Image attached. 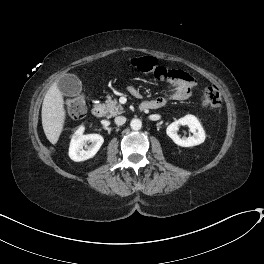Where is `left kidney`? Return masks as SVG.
I'll list each match as a JSON object with an SVG mask.
<instances>
[{"instance_id":"1","label":"left kidney","mask_w":264,"mask_h":264,"mask_svg":"<svg viewBox=\"0 0 264 264\" xmlns=\"http://www.w3.org/2000/svg\"><path fill=\"white\" fill-rule=\"evenodd\" d=\"M180 125H187L193 135L187 138H181L177 133ZM166 133L174 143L182 147L196 146L203 143L205 140V131L199 120L193 115H186L171 123L166 129Z\"/></svg>"}]
</instances>
